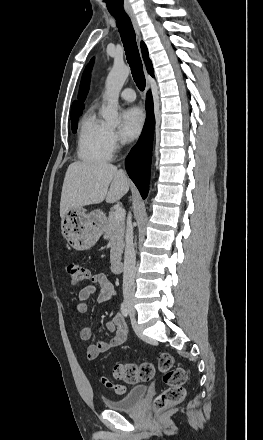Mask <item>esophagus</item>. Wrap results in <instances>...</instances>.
Here are the masks:
<instances>
[{"label": "esophagus", "instance_id": "1", "mask_svg": "<svg viewBox=\"0 0 263 440\" xmlns=\"http://www.w3.org/2000/svg\"><path fill=\"white\" fill-rule=\"evenodd\" d=\"M127 14H128V16H129V18H130V20L132 22V25L134 27L135 32H136L138 42H140L141 34H140V28H139V25H138V22H137V18H136L135 14H134V12L132 10H127ZM144 71H145V75L148 76L147 71H146L145 68H144ZM149 88H150V83H149V81H147L146 90L145 91L148 92Z\"/></svg>", "mask_w": 263, "mask_h": 440}]
</instances>
